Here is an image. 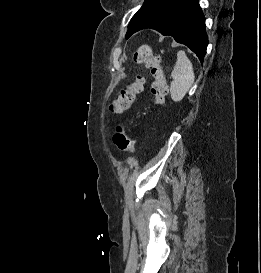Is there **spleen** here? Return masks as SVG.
<instances>
[{"label":"spleen","mask_w":261,"mask_h":273,"mask_svg":"<svg viewBox=\"0 0 261 273\" xmlns=\"http://www.w3.org/2000/svg\"><path fill=\"white\" fill-rule=\"evenodd\" d=\"M171 77L173 79L170 84L171 98L179 102L185 97L195 80L192 63L183 50L177 53V61Z\"/></svg>","instance_id":"1"}]
</instances>
